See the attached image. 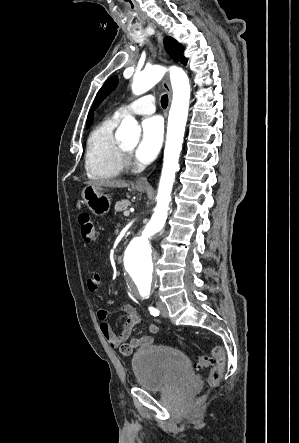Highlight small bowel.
Masks as SVG:
<instances>
[{
	"mask_svg": "<svg viewBox=\"0 0 299 443\" xmlns=\"http://www.w3.org/2000/svg\"><path fill=\"white\" fill-rule=\"evenodd\" d=\"M100 274L95 272L87 281V288L91 292H95L100 285ZM119 312L124 315V322L121 331L116 333L107 322L108 311L99 309L97 318L101 321V330L108 344L111 347L119 348L123 354H129L133 349L150 347L155 338L152 335H142L131 338L134 326L139 322V315L133 305H123ZM148 329L151 333H157L159 326L157 324H149ZM129 340V343H126Z\"/></svg>",
	"mask_w": 299,
	"mask_h": 443,
	"instance_id": "small-bowel-1",
	"label": "small bowel"
}]
</instances>
